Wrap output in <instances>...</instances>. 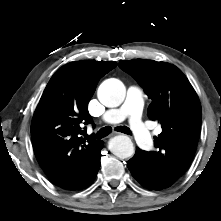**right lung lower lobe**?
I'll return each instance as SVG.
<instances>
[{"mask_svg":"<svg viewBox=\"0 0 221 221\" xmlns=\"http://www.w3.org/2000/svg\"><path fill=\"white\" fill-rule=\"evenodd\" d=\"M102 147H103V142L100 145L99 149L96 151V159H95L91 169L89 170V173L87 174L85 179L80 184H78L73 190L82 189V188H84V187H86V186H88L89 184L92 183V181L96 177L97 172H98L99 167H100V157H101Z\"/></svg>","mask_w":221,"mask_h":221,"instance_id":"98d812e1","label":"right lung lower lobe"}]
</instances>
